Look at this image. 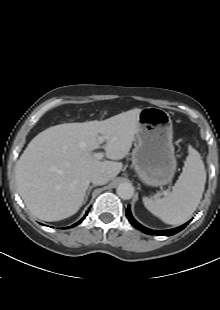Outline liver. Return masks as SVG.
<instances>
[{"mask_svg": "<svg viewBox=\"0 0 220 310\" xmlns=\"http://www.w3.org/2000/svg\"><path fill=\"white\" fill-rule=\"evenodd\" d=\"M141 109L135 108L103 121L64 123L35 136L15 167L17 188L36 218L59 221L74 215L82 206L92 175L114 179L121 162L99 161L93 151L106 143L105 155L121 160L131 149L139 127Z\"/></svg>", "mask_w": 220, "mask_h": 310, "instance_id": "6515ba94", "label": "liver"}]
</instances>
